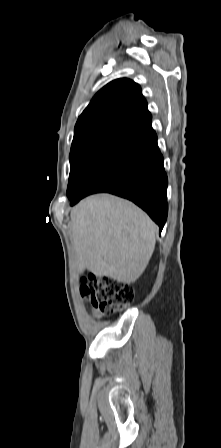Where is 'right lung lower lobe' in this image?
<instances>
[{
    "mask_svg": "<svg viewBox=\"0 0 221 448\" xmlns=\"http://www.w3.org/2000/svg\"><path fill=\"white\" fill-rule=\"evenodd\" d=\"M168 179L151 123L116 144L96 166L71 205L99 192L129 199L162 230L168 213Z\"/></svg>",
    "mask_w": 221,
    "mask_h": 448,
    "instance_id": "right-lung-lower-lobe-1",
    "label": "right lung lower lobe"
}]
</instances>
